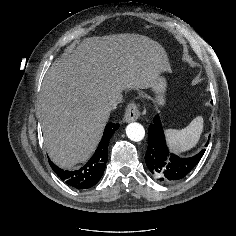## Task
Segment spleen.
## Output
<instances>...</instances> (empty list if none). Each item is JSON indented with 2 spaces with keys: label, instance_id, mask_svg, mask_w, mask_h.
I'll return each instance as SVG.
<instances>
[{
  "label": "spleen",
  "instance_id": "3e777b00",
  "mask_svg": "<svg viewBox=\"0 0 236 236\" xmlns=\"http://www.w3.org/2000/svg\"><path fill=\"white\" fill-rule=\"evenodd\" d=\"M202 131L203 118L198 116L187 127L181 130L168 129L165 134L170 148L180 153L193 148L199 141Z\"/></svg>",
  "mask_w": 236,
  "mask_h": 236
}]
</instances>
